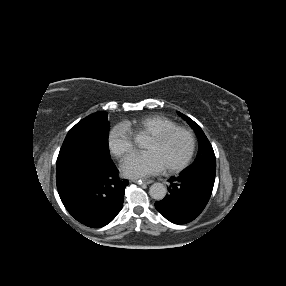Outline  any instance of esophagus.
I'll return each mask as SVG.
<instances>
[{"mask_svg": "<svg viewBox=\"0 0 286 286\" xmlns=\"http://www.w3.org/2000/svg\"><path fill=\"white\" fill-rule=\"evenodd\" d=\"M135 182L139 183V184H151L153 181L150 179H141V180H136Z\"/></svg>", "mask_w": 286, "mask_h": 286, "instance_id": "1", "label": "esophagus"}]
</instances>
